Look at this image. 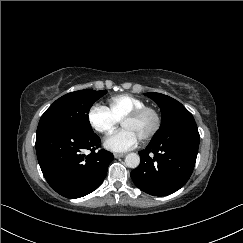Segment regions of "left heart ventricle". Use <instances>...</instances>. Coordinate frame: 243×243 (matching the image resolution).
Wrapping results in <instances>:
<instances>
[{"mask_svg":"<svg viewBox=\"0 0 243 243\" xmlns=\"http://www.w3.org/2000/svg\"><path fill=\"white\" fill-rule=\"evenodd\" d=\"M153 125L154 118L151 114H145L136 120H126L122 123V126L130 129L139 140L143 139L150 132Z\"/></svg>","mask_w":243,"mask_h":243,"instance_id":"obj_1","label":"left heart ventricle"}]
</instances>
